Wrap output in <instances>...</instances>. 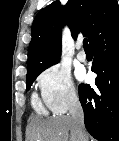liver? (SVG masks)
I'll return each instance as SVG.
<instances>
[{
  "label": "liver",
  "mask_w": 119,
  "mask_h": 141,
  "mask_svg": "<svg viewBox=\"0 0 119 141\" xmlns=\"http://www.w3.org/2000/svg\"><path fill=\"white\" fill-rule=\"evenodd\" d=\"M28 139V141H68V139L79 141L70 116L33 118L28 126Z\"/></svg>",
  "instance_id": "6515ba94"
}]
</instances>
